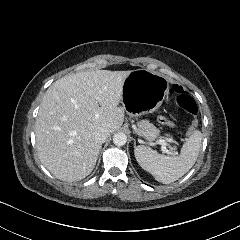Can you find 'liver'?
I'll return each instance as SVG.
<instances>
[{
	"mask_svg": "<svg viewBox=\"0 0 240 240\" xmlns=\"http://www.w3.org/2000/svg\"><path fill=\"white\" fill-rule=\"evenodd\" d=\"M131 71L96 70L66 75L43 96L35 122L36 148L41 163L57 179L79 181L96 165L102 143L98 129L121 128L119 107Z\"/></svg>",
	"mask_w": 240,
	"mask_h": 240,
	"instance_id": "obj_1",
	"label": "liver"
}]
</instances>
